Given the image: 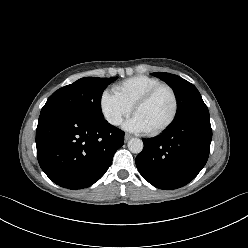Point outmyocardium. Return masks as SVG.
Masks as SVG:
<instances>
[{
    "label": "myocardium",
    "instance_id": "f54148a6",
    "mask_svg": "<svg viewBox=\"0 0 248 248\" xmlns=\"http://www.w3.org/2000/svg\"><path fill=\"white\" fill-rule=\"evenodd\" d=\"M163 89H166L170 92L172 96V100H173V109H172V112L169 118L162 125H160L159 127L153 130L147 131V133L150 135H157V134L162 133L167 128H169L171 124L174 122L177 116V113H178V108H179L178 97H177L175 90L170 85L161 83L153 87L149 91H147L144 95H142L132 107L133 113L135 114L138 108L148 103L160 90H163Z\"/></svg>",
    "mask_w": 248,
    "mask_h": 248
}]
</instances>
